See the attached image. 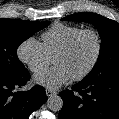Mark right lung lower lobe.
Masks as SVG:
<instances>
[{
	"mask_svg": "<svg viewBox=\"0 0 119 119\" xmlns=\"http://www.w3.org/2000/svg\"><path fill=\"white\" fill-rule=\"evenodd\" d=\"M29 79L27 69L18 75L0 77V119H28L45 102L46 93L42 86L15 92Z\"/></svg>",
	"mask_w": 119,
	"mask_h": 119,
	"instance_id": "right-lung-lower-lobe-1",
	"label": "right lung lower lobe"
}]
</instances>
